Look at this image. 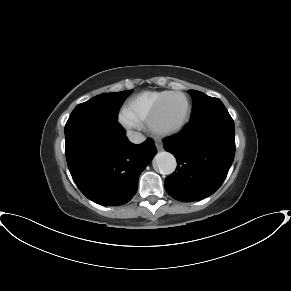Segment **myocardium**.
<instances>
[{
  "label": "myocardium",
  "mask_w": 291,
  "mask_h": 291,
  "mask_svg": "<svg viewBox=\"0 0 291 291\" xmlns=\"http://www.w3.org/2000/svg\"><path fill=\"white\" fill-rule=\"evenodd\" d=\"M173 95H181L186 99V104H187V113H186V117L184 119V121L176 126V127H172V128H164L161 127L158 124V119L160 116V112L162 110V107L164 105V103L166 102V100L173 96ZM192 104L190 101V98L188 97V95L184 92L181 91H170L167 94H165L155 105V107L153 108V110L151 111L148 119H147V125L148 128L150 129V131L156 135L159 136H171V135H175L177 133L182 132L187 125L189 124L191 117H192Z\"/></svg>",
  "instance_id": "myocardium-1"
}]
</instances>
